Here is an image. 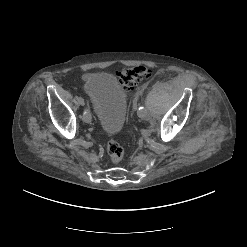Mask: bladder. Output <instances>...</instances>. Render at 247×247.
I'll return each instance as SVG.
<instances>
[{
	"label": "bladder",
	"instance_id": "obj_1",
	"mask_svg": "<svg viewBox=\"0 0 247 247\" xmlns=\"http://www.w3.org/2000/svg\"><path fill=\"white\" fill-rule=\"evenodd\" d=\"M85 89L91 98L101 129L106 134L119 132L127 117V94L117 79L109 73L89 74Z\"/></svg>",
	"mask_w": 247,
	"mask_h": 247
}]
</instances>
